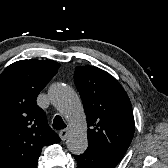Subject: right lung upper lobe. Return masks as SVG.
I'll list each match as a JSON object with an SVG mask.
<instances>
[{
  "mask_svg": "<svg viewBox=\"0 0 168 168\" xmlns=\"http://www.w3.org/2000/svg\"><path fill=\"white\" fill-rule=\"evenodd\" d=\"M59 66L21 60L0 74V168H36L42 147L60 141L36 103Z\"/></svg>",
  "mask_w": 168,
  "mask_h": 168,
  "instance_id": "cb5924a9",
  "label": "right lung upper lobe"
}]
</instances>
